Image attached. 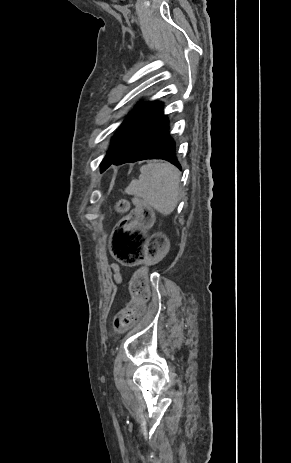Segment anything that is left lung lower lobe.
<instances>
[{
  "mask_svg": "<svg viewBox=\"0 0 291 463\" xmlns=\"http://www.w3.org/2000/svg\"><path fill=\"white\" fill-rule=\"evenodd\" d=\"M175 151L176 145L173 138L169 135L168 121L164 119L137 147L126 155L118 159L111 158L110 160L103 161L101 163V172L111 164L120 165L146 159H163L181 169Z\"/></svg>",
  "mask_w": 291,
  "mask_h": 463,
  "instance_id": "left-lung-lower-lobe-1",
  "label": "left lung lower lobe"
}]
</instances>
